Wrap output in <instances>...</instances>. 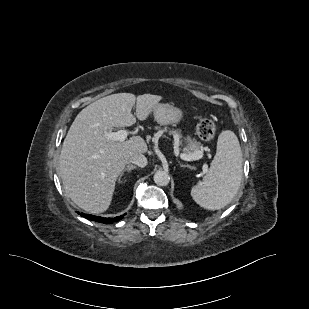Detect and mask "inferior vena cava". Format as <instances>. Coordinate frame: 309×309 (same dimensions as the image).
<instances>
[{
    "label": "inferior vena cava",
    "instance_id": "602c4592",
    "mask_svg": "<svg viewBox=\"0 0 309 309\" xmlns=\"http://www.w3.org/2000/svg\"><path fill=\"white\" fill-rule=\"evenodd\" d=\"M129 161L139 167H145L147 165V158L142 153L131 155Z\"/></svg>",
    "mask_w": 309,
    "mask_h": 309
}]
</instances>
